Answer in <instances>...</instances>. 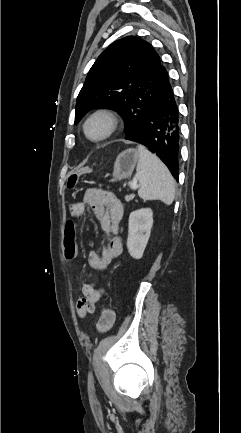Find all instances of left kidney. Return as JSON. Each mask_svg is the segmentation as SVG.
<instances>
[{
  "mask_svg": "<svg viewBox=\"0 0 241 433\" xmlns=\"http://www.w3.org/2000/svg\"><path fill=\"white\" fill-rule=\"evenodd\" d=\"M153 226V212L150 208L133 211L129 216L127 248L134 259H141L147 246L151 228Z\"/></svg>",
  "mask_w": 241,
  "mask_h": 433,
  "instance_id": "obj_1",
  "label": "left kidney"
}]
</instances>
